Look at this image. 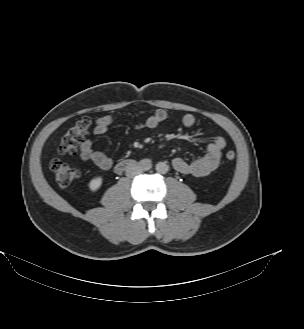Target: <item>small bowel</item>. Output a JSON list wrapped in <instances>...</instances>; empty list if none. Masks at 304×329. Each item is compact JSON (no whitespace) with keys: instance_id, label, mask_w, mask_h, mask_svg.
<instances>
[{"instance_id":"c3829d8e","label":"small bowel","mask_w":304,"mask_h":329,"mask_svg":"<svg viewBox=\"0 0 304 329\" xmlns=\"http://www.w3.org/2000/svg\"><path fill=\"white\" fill-rule=\"evenodd\" d=\"M168 114L164 109H157L143 123L136 125V129L154 130L160 127L167 119ZM114 122L111 115H103L97 119L94 128L95 135L102 136L107 134L109 127ZM183 125L188 129H194L196 117L193 114H185L182 117ZM226 139L223 136H215L206 146L205 155L186 161L182 158H175L172 165L175 171L192 177H203L217 169L221 160L222 150L226 146ZM80 156L83 160L92 162L94 165L103 170L111 168L113 161L106 153L96 150L91 140H85L80 145Z\"/></svg>"}]
</instances>
